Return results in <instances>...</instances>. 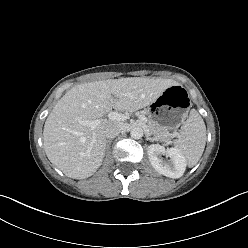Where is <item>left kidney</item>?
I'll return each mask as SVG.
<instances>
[{"label": "left kidney", "mask_w": 248, "mask_h": 248, "mask_svg": "<svg viewBox=\"0 0 248 248\" xmlns=\"http://www.w3.org/2000/svg\"><path fill=\"white\" fill-rule=\"evenodd\" d=\"M147 152L151 165L160 174L169 178H180L184 174L186 160L178 149H165L159 144H152L148 146ZM162 155L170 160H164Z\"/></svg>", "instance_id": "5707ae66"}]
</instances>
